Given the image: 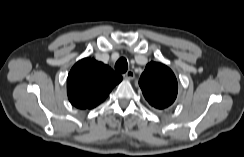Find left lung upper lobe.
<instances>
[{
    "instance_id": "5c2ea615",
    "label": "left lung upper lobe",
    "mask_w": 244,
    "mask_h": 157,
    "mask_svg": "<svg viewBox=\"0 0 244 157\" xmlns=\"http://www.w3.org/2000/svg\"><path fill=\"white\" fill-rule=\"evenodd\" d=\"M145 99L157 109L170 106L177 96V80L166 65L150 62L139 79Z\"/></svg>"
}]
</instances>
